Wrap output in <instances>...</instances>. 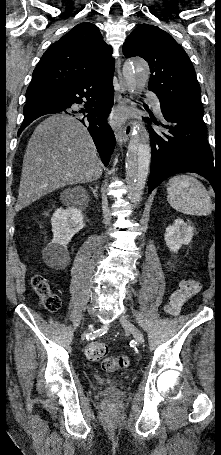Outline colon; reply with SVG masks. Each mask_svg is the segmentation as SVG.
<instances>
[{
    "label": "colon",
    "mask_w": 221,
    "mask_h": 455,
    "mask_svg": "<svg viewBox=\"0 0 221 455\" xmlns=\"http://www.w3.org/2000/svg\"><path fill=\"white\" fill-rule=\"evenodd\" d=\"M31 285L36 294L40 297L42 307L49 312L59 310L61 300L54 293L47 279L42 275H34L31 280ZM200 290V284L195 279H185L181 282L179 288L172 293L166 311L172 316L178 315L181 307ZM108 352L107 346L101 342H91L86 346L85 354L88 359L99 362L101 367L107 372L121 370L129 365V358L125 355L116 357H106ZM116 402L110 404L111 408H116Z\"/></svg>",
    "instance_id": "5ec220e1"
}]
</instances>
